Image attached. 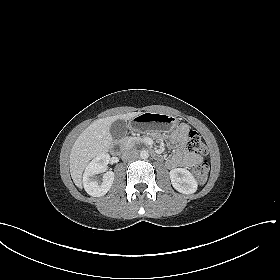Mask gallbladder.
<instances>
[{
  "label": "gallbladder",
  "mask_w": 280,
  "mask_h": 280,
  "mask_svg": "<svg viewBox=\"0 0 280 280\" xmlns=\"http://www.w3.org/2000/svg\"><path fill=\"white\" fill-rule=\"evenodd\" d=\"M127 122L124 120H116L110 126V133L115 140L122 139L127 133Z\"/></svg>",
  "instance_id": "bac80fb5"
}]
</instances>
